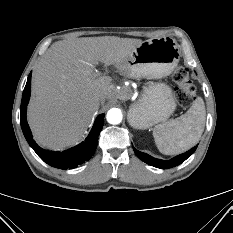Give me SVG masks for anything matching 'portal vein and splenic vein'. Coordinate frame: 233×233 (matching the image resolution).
Segmentation results:
<instances>
[{
	"label": "portal vein and splenic vein",
	"mask_w": 233,
	"mask_h": 233,
	"mask_svg": "<svg viewBox=\"0 0 233 233\" xmlns=\"http://www.w3.org/2000/svg\"><path fill=\"white\" fill-rule=\"evenodd\" d=\"M99 74H98V72L96 71V73H94V76H98Z\"/></svg>",
	"instance_id": "obj_1"
}]
</instances>
